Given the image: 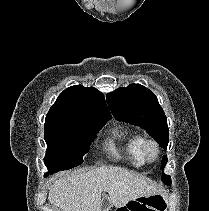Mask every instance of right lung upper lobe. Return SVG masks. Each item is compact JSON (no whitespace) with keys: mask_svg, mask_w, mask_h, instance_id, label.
<instances>
[{"mask_svg":"<svg viewBox=\"0 0 209 211\" xmlns=\"http://www.w3.org/2000/svg\"><path fill=\"white\" fill-rule=\"evenodd\" d=\"M101 118H111L103 94L93 87L76 85L59 95L46 116L45 124H75Z\"/></svg>","mask_w":209,"mask_h":211,"instance_id":"1","label":"right lung upper lobe"}]
</instances>
